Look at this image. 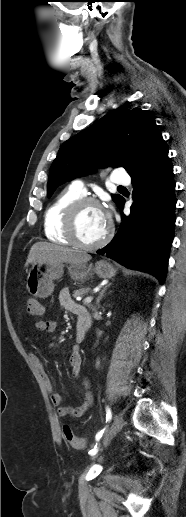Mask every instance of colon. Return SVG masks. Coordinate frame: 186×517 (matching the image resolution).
I'll return each mask as SVG.
<instances>
[{"mask_svg": "<svg viewBox=\"0 0 186 517\" xmlns=\"http://www.w3.org/2000/svg\"><path fill=\"white\" fill-rule=\"evenodd\" d=\"M26 312L30 317H37L43 313V307L40 301L36 298H29L26 303ZM63 437L76 450L85 449L87 441L85 438L77 437L69 425L63 427Z\"/></svg>", "mask_w": 186, "mask_h": 517, "instance_id": "colon-1", "label": "colon"}]
</instances>
